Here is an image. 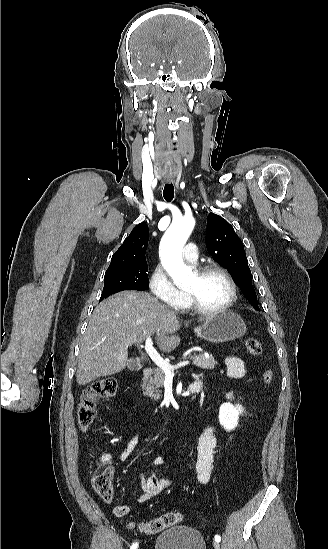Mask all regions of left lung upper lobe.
I'll use <instances>...</instances> for the list:
<instances>
[{
	"label": "left lung upper lobe",
	"instance_id": "1",
	"mask_svg": "<svg viewBox=\"0 0 328 549\" xmlns=\"http://www.w3.org/2000/svg\"><path fill=\"white\" fill-rule=\"evenodd\" d=\"M206 246L215 261L235 278L251 305L258 308L243 243L231 224L212 212L207 219Z\"/></svg>",
	"mask_w": 328,
	"mask_h": 549
}]
</instances>
